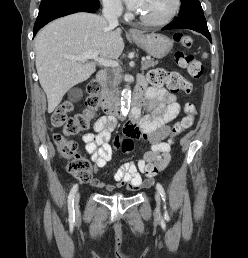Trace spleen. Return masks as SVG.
<instances>
[{
  "label": "spleen",
  "mask_w": 248,
  "mask_h": 258,
  "mask_svg": "<svg viewBox=\"0 0 248 258\" xmlns=\"http://www.w3.org/2000/svg\"><path fill=\"white\" fill-rule=\"evenodd\" d=\"M208 54L207 53H203V58H207Z\"/></svg>",
  "instance_id": "1"
}]
</instances>
